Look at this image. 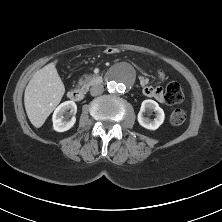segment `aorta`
Segmentation results:
<instances>
[{
    "label": "aorta",
    "instance_id": "762f6f07",
    "mask_svg": "<svg viewBox=\"0 0 222 222\" xmlns=\"http://www.w3.org/2000/svg\"><path fill=\"white\" fill-rule=\"evenodd\" d=\"M134 82V76L127 66L119 67L111 72L107 79V89L112 94H121L128 90Z\"/></svg>",
    "mask_w": 222,
    "mask_h": 222
}]
</instances>
